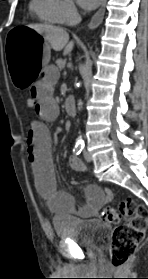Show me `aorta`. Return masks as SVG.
Returning <instances> with one entry per match:
<instances>
[{
  "label": "aorta",
  "instance_id": "762f6f07",
  "mask_svg": "<svg viewBox=\"0 0 148 279\" xmlns=\"http://www.w3.org/2000/svg\"><path fill=\"white\" fill-rule=\"evenodd\" d=\"M81 109H82V104H81V103H78V110H81ZM77 143H78V144H82V143H83L82 139H81V138L78 139V140H77Z\"/></svg>",
  "mask_w": 148,
  "mask_h": 279
}]
</instances>
